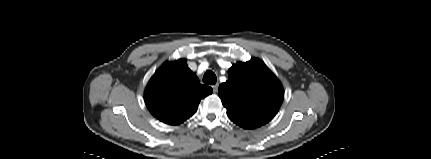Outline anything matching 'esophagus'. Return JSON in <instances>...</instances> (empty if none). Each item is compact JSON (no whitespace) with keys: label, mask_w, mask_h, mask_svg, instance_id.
I'll return each instance as SVG.
<instances>
[{"label":"esophagus","mask_w":431,"mask_h":159,"mask_svg":"<svg viewBox=\"0 0 431 159\" xmlns=\"http://www.w3.org/2000/svg\"><path fill=\"white\" fill-rule=\"evenodd\" d=\"M219 84L216 83L212 86L213 92L216 93L218 91Z\"/></svg>","instance_id":"1"}]
</instances>
